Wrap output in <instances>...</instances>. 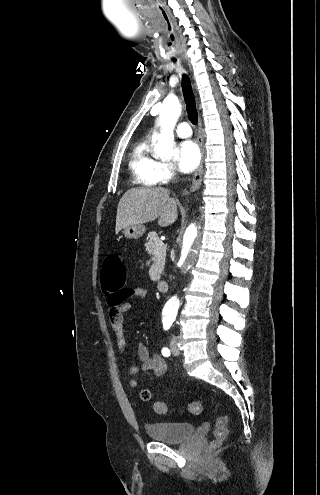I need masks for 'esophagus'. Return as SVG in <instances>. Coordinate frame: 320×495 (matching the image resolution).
<instances>
[{
  "label": "esophagus",
  "instance_id": "obj_1",
  "mask_svg": "<svg viewBox=\"0 0 320 495\" xmlns=\"http://www.w3.org/2000/svg\"><path fill=\"white\" fill-rule=\"evenodd\" d=\"M198 125H199L198 142H199L202 156H203L204 155V146H203L204 136H203V133L201 132V126H202L201 119L199 120ZM202 175H203V158H202V161H201L199 168L197 169V171L194 174L192 185L190 187V191H196L200 187L201 182H202Z\"/></svg>",
  "mask_w": 320,
  "mask_h": 495
}]
</instances>
